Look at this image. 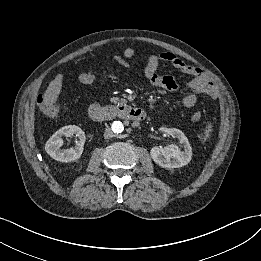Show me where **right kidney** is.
Returning <instances> with one entry per match:
<instances>
[{
	"instance_id": "right-kidney-1",
	"label": "right kidney",
	"mask_w": 261,
	"mask_h": 261,
	"mask_svg": "<svg viewBox=\"0 0 261 261\" xmlns=\"http://www.w3.org/2000/svg\"><path fill=\"white\" fill-rule=\"evenodd\" d=\"M75 135L78 140L76 141L75 147L67 150H62L63 136ZM84 131L76 125H68L60 128L56 131L46 142L45 150L51 158L60 162H71L78 160L83 152V146L85 143Z\"/></svg>"
}]
</instances>
